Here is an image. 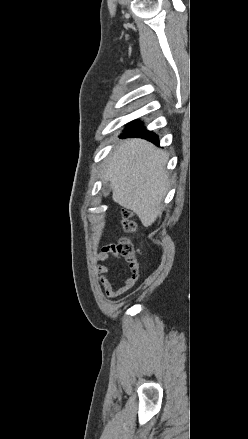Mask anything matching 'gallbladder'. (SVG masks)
Wrapping results in <instances>:
<instances>
[{"instance_id": "1", "label": "gallbladder", "mask_w": 248, "mask_h": 439, "mask_svg": "<svg viewBox=\"0 0 248 439\" xmlns=\"http://www.w3.org/2000/svg\"><path fill=\"white\" fill-rule=\"evenodd\" d=\"M110 191H111V185H110V182L107 181L104 183L103 188H102L103 196H105V197L108 196Z\"/></svg>"}]
</instances>
